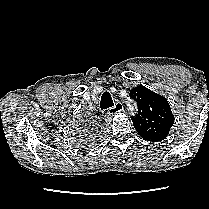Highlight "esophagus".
Listing matches in <instances>:
<instances>
[{
	"mask_svg": "<svg viewBox=\"0 0 209 209\" xmlns=\"http://www.w3.org/2000/svg\"><path fill=\"white\" fill-rule=\"evenodd\" d=\"M123 104L120 101H117L113 107L109 109L110 114H115L123 110Z\"/></svg>",
	"mask_w": 209,
	"mask_h": 209,
	"instance_id": "esophagus-1",
	"label": "esophagus"
}]
</instances>
